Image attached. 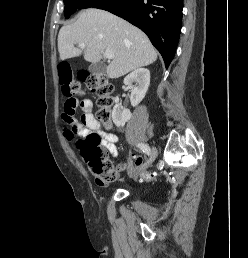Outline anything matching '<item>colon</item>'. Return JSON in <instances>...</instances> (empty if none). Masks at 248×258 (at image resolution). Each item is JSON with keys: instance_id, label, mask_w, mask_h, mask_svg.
I'll return each instance as SVG.
<instances>
[{"instance_id": "colon-1", "label": "colon", "mask_w": 248, "mask_h": 258, "mask_svg": "<svg viewBox=\"0 0 248 258\" xmlns=\"http://www.w3.org/2000/svg\"><path fill=\"white\" fill-rule=\"evenodd\" d=\"M60 81L62 85L65 102L62 108V117L66 122L65 132L71 139L76 133V128L72 125L76 108V96L80 92V84L83 83L87 88L98 97L97 118L105 125H111V108L113 105L112 91L113 85L102 75L81 72L78 80L72 79L71 69L65 62L59 64ZM76 147L80 150L82 157L88 164L91 173L97 180L103 183L113 182L117 177V172L113 164L106 158L102 149V139L91 132L75 141ZM128 172L138 175L142 180H153V175L144 174L146 166L141 155H132L128 161Z\"/></svg>"}]
</instances>
